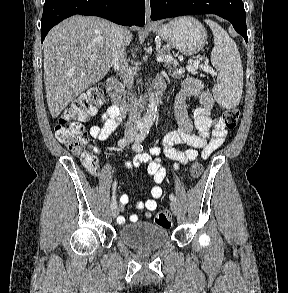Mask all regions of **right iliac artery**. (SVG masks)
Segmentation results:
<instances>
[{
    "mask_svg": "<svg viewBox=\"0 0 288 293\" xmlns=\"http://www.w3.org/2000/svg\"><path fill=\"white\" fill-rule=\"evenodd\" d=\"M127 145V139L122 138L118 141V146L124 148ZM115 190H116V182L113 184V195L111 200V208L116 207V197H115Z\"/></svg>",
    "mask_w": 288,
    "mask_h": 293,
    "instance_id": "1",
    "label": "right iliac artery"
}]
</instances>
